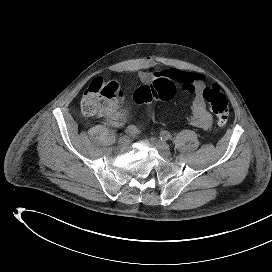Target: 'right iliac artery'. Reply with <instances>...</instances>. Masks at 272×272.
Segmentation results:
<instances>
[{
    "label": "right iliac artery",
    "instance_id": "right-iliac-artery-1",
    "mask_svg": "<svg viewBox=\"0 0 272 272\" xmlns=\"http://www.w3.org/2000/svg\"><path fill=\"white\" fill-rule=\"evenodd\" d=\"M137 132V128L136 126L134 125H131V126H128L126 129H125V134L131 136L133 134H135Z\"/></svg>",
    "mask_w": 272,
    "mask_h": 272
}]
</instances>
